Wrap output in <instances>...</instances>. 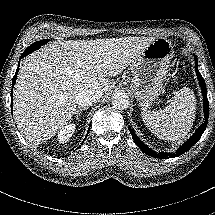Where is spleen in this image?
Here are the masks:
<instances>
[{"label":"spleen","instance_id":"3e777b00","mask_svg":"<svg viewBox=\"0 0 215 215\" xmlns=\"http://www.w3.org/2000/svg\"><path fill=\"white\" fill-rule=\"evenodd\" d=\"M195 110L194 93L184 87L165 109L149 111L143 108L141 116L146 127L159 139L177 141L184 138L193 126Z\"/></svg>","mask_w":215,"mask_h":215}]
</instances>
